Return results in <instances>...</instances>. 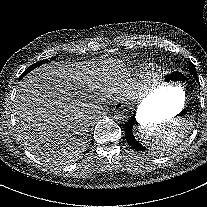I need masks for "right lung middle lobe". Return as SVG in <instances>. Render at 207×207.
I'll list each match as a JSON object with an SVG mask.
<instances>
[{
	"mask_svg": "<svg viewBox=\"0 0 207 207\" xmlns=\"http://www.w3.org/2000/svg\"><path fill=\"white\" fill-rule=\"evenodd\" d=\"M53 59H54V57H52V58L50 59V61H52ZM46 62H48L47 59L42 60V61H39V62H37V63L31 65L30 67H28V68L23 72V74L21 75L20 79H22L26 74H28V73H29L30 71H32L33 69L39 67L40 65H42V64H44V63H46Z\"/></svg>",
	"mask_w": 207,
	"mask_h": 207,
	"instance_id": "right-lung-middle-lobe-1",
	"label": "right lung middle lobe"
}]
</instances>
